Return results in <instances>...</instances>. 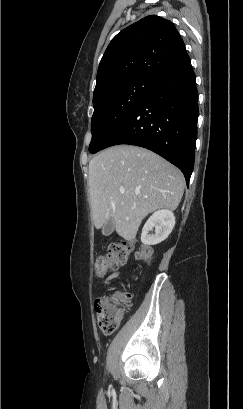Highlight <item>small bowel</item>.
Wrapping results in <instances>:
<instances>
[{
    "label": "small bowel",
    "mask_w": 243,
    "mask_h": 409,
    "mask_svg": "<svg viewBox=\"0 0 243 409\" xmlns=\"http://www.w3.org/2000/svg\"><path fill=\"white\" fill-rule=\"evenodd\" d=\"M120 277V272L116 271L109 275L105 281V285H111L114 281L118 280Z\"/></svg>",
    "instance_id": "c3829d8e"
}]
</instances>
